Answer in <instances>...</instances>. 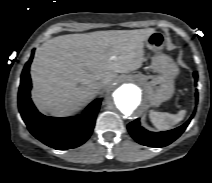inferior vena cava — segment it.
<instances>
[{
  "mask_svg": "<svg viewBox=\"0 0 212 183\" xmlns=\"http://www.w3.org/2000/svg\"><path fill=\"white\" fill-rule=\"evenodd\" d=\"M103 87H104V83H97V84L95 85V88H96L97 90H101Z\"/></svg>",
  "mask_w": 212,
  "mask_h": 183,
  "instance_id": "inferior-vena-cava-1",
  "label": "inferior vena cava"
}]
</instances>
